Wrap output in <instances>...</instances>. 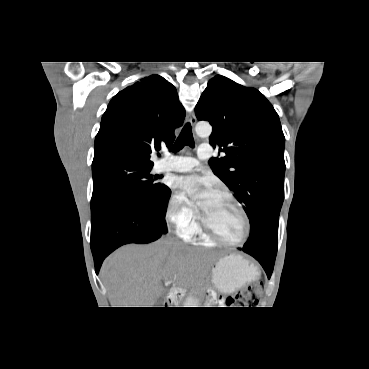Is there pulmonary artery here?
<instances>
[{
  "label": "pulmonary artery",
  "instance_id": "1",
  "mask_svg": "<svg viewBox=\"0 0 369 369\" xmlns=\"http://www.w3.org/2000/svg\"><path fill=\"white\" fill-rule=\"evenodd\" d=\"M200 160L210 159L213 151L210 145L201 144L197 151ZM199 164V161L190 156H168L158 164L159 171L187 172Z\"/></svg>",
  "mask_w": 369,
  "mask_h": 369
}]
</instances>
